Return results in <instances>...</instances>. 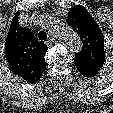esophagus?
Here are the masks:
<instances>
[{
  "label": "esophagus",
  "mask_w": 113,
  "mask_h": 113,
  "mask_svg": "<svg viewBox=\"0 0 113 113\" xmlns=\"http://www.w3.org/2000/svg\"><path fill=\"white\" fill-rule=\"evenodd\" d=\"M56 43V40H55V38H53V37H50L47 41H46V45H48V46H52L53 44H55Z\"/></svg>",
  "instance_id": "obj_1"
}]
</instances>
